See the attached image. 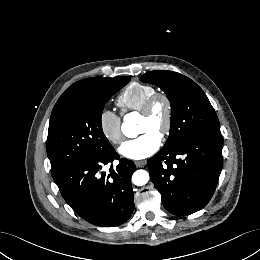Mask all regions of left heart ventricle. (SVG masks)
<instances>
[{
	"instance_id": "1",
	"label": "left heart ventricle",
	"mask_w": 260,
	"mask_h": 260,
	"mask_svg": "<svg viewBox=\"0 0 260 260\" xmlns=\"http://www.w3.org/2000/svg\"><path fill=\"white\" fill-rule=\"evenodd\" d=\"M165 118V104L163 101H157L154 105L152 114L149 117H140L139 130L140 133L147 131H153L157 134L160 133L161 127L164 123Z\"/></svg>"
}]
</instances>
